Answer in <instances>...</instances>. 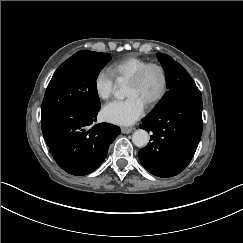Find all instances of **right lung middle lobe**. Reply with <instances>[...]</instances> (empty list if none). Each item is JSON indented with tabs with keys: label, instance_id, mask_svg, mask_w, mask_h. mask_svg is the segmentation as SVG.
Returning a JSON list of instances; mask_svg holds the SVG:
<instances>
[{
	"label": "right lung middle lobe",
	"instance_id": "right-lung-middle-lobe-1",
	"mask_svg": "<svg viewBox=\"0 0 243 243\" xmlns=\"http://www.w3.org/2000/svg\"><path fill=\"white\" fill-rule=\"evenodd\" d=\"M110 59L106 53L82 50L63 62L48 84L41 115L65 107L99 110L95 81Z\"/></svg>",
	"mask_w": 243,
	"mask_h": 243
}]
</instances>
